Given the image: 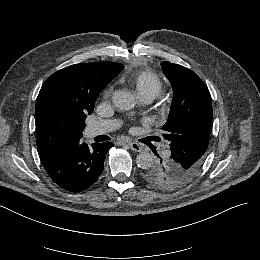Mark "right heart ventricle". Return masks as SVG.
<instances>
[{
	"mask_svg": "<svg viewBox=\"0 0 260 260\" xmlns=\"http://www.w3.org/2000/svg\"><path fill=\"white\" fill-rule=\"evenodd\" d=\"M128 82L138 98L150 97L152 100L164 90V81L158 75L145 70L133 71Z\"/></svg>",
	"mask_w": 260,
	"mask_h": 260,
	"instance_id": "right-heart-ventricle-1",
	"label": "right heart ventricle"
}]
</instances>
